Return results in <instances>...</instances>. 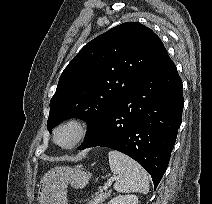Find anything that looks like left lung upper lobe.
Instances as JSON below:
<instances>
[{"mask_svg": "<svg viewBox=\"0 0 212 204\" xmlns=\"http://www.w3.org/2000/svg\"><path fill=\"white\" fill-rule=\"evenodd\" d=\"M168 55L148 27L126 22L87 43L64 69L50 102L47 128L69 117L87 122L86 138L105 114Z\"/></svg>", "mask_w": 212, "mask_h": 204, "instance_id": "1", "label": "left lung upper lobe"}]
</instances>
